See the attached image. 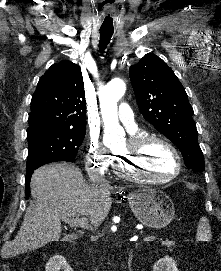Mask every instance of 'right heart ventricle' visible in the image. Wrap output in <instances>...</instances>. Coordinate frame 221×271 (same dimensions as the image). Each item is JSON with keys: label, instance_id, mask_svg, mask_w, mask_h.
<instances>
[{"label": "right heart ventricle", "instance_id": "obj_1", "mask_svg": "<svg viewBox=\"0 0 221 271\" xmlns=\"http://www.w3.org/2000/svg\"><path fill=\"white\" fill-rule=\"evenodd\" d=\"M138 136L139 134L133 135L129 144H134ZM143 183H158V178H143ZM159 183H170V178H159Z\"/></svg>", "mask_w": 221, "mask_h": 271}]
</instances>
